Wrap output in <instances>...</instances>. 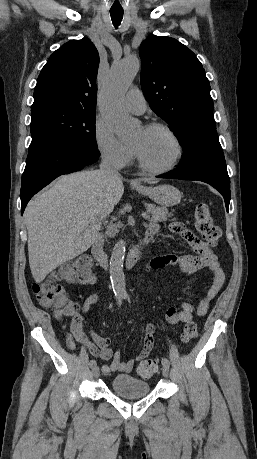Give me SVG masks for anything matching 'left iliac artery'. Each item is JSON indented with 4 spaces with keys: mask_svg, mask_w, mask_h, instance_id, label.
<instances>
[{
    "mask_svg": "<svg viewBox=\"0 0 257 459\" xmlns=\"http://www.w3.org/2000/svg\"><path fill=\"white\" fill-rule=\"evenodd\" d=\"M161 362H162V365H163V366H168V367L170 366L169 360H168L167 358H165V357L162 358V361H161Z\"/></svg>",
    "mask_w": 257,
    "mask_h": 459,
    "instance_id": "obj_1",
    "label": "left iliac artery"
}]
</instances>
